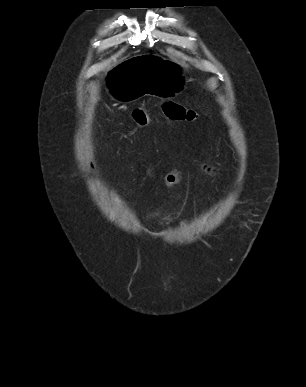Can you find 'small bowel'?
<instances>
[{
    "label": "small bowel",
    "mask_w": 306,
    "mask_h": 387,
    "mask_svg": "<svg viewBox=\"0 0 306 387\" xmlns=\"http://www.w3.org/2000/svg\"><path fill=\"white\" fill-rule=\"evenodd\" d=\"M202 171L206 174V175H209V176H213L214 175V169L207 165V164H204L202 166ZM147 175L151 178V179H154L155 178V174H154V171H153V168L152 167H149L147 169ZM182 174L179 172V171H170L168 172L165 176H164V183L165 185L170 188V189H174L175 187H177L181 182H182Z\"/></svg>",
    "instance_id": "c3829d8e"
}]
</instances>
